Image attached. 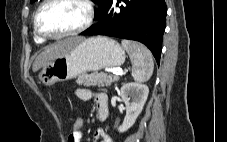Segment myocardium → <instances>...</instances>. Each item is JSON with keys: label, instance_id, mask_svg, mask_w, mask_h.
Returning a JSON list of instances; mask_svg holds the SVG:
<instances>
[{"label": "myocardium", "instance_id": "f54148a6", "mask_svg": "<svg viewBox=\"0 0 227 142\" xmlns=\"http://www.w3.org/2000/svg\"><path fill=\"white\" fill-rule=\"evenodd\" d=\"M57 1V0H44L41 5L38 7L35 16H34V29L35 32L38 36H40L41 38H45V39H60V38H64V37H68V36H72V35H76L79 34L83 31H85L87 28H89L95 18V5L94 2L92 0H78L79 2H81L84 7L86 8V19L85 21L76 29H73L71 31L68 32H64V33H60V34H48L46 32H44L41 29L40 26V22H39V17L41 12L43 11V9L50 3Z\"/></svg>", "mask_w": 227, "mask_h": 142}]
</instances>
